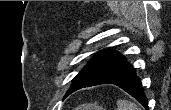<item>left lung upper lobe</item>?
I'll use <instances>...</instances> for the list:
<instances>
[{"instance_id": "5c2ea615", "label": "left lung upper lobe", "mask_w": 171, "mask_h": 110, "mask_svg": "<svg viewBox=\"0 0 171 110\" xmlns=\"http://www.w3.org/2000/svg\"><path fill=\"white\" fill-rule=\"evenodd\" d=\"M126 59L119 55L118 52L107 50L98 53L91 59L88 64L78 73L73 79V84L67 91L66 95L70 90L79 86L83 83L90 82L105 73L106 71L119 66L124 63ZM65 95V96H66Z\"/></svg>"}]
</instances>
